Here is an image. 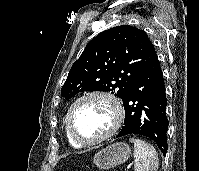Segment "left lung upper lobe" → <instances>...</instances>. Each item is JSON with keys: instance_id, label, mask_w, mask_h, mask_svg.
<instances>
[{"instance_id": "5c2ea615", "label": "left lung upper lobe", "mask_w": 199, "mask_h": 171, "mask_svg": "<svg viewBox=\"0 0 199 171\" xmlns=\"http://www.w3.org/2000/svg\"><path fill=\"white\" fill-rule=\"evenodd\" d=\"M156 52L146 32L130 25L94 37L76 60L61 89L69 99L81 91H111L123 100Z\"/></svg>"}]
</instances>
